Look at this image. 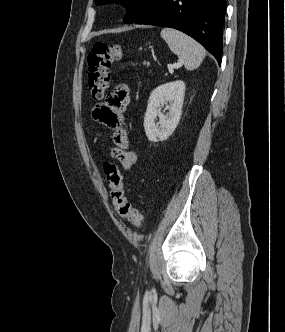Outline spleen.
<instances>
[{"instance_id": "obj_1", "label": "spleen", "mask_w": 285, "mask_h": 332, "mask_svg": "<svg viewBox=\"0 0 285 332\" xmlns=\"http://www.w3.org/2000/svg\"><path fill=\"white\" fill-rule=\"evenodd\" d=\"M160 35L170 50L182 60L187 70H194L200 66L206 52L197 41L173 28L162 29Z\"/></svg>"}]
</instances>
